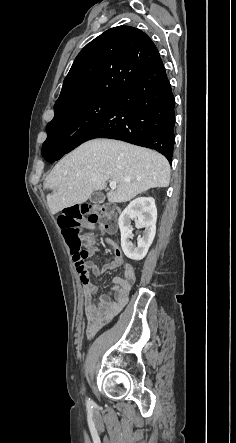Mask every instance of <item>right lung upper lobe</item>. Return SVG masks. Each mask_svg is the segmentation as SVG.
<instances>
[{"mask_svg": "<svg viewBox=\"0 0 236 443\" xmlns=\"http://www.w3.org/2000/svg\"><path fill=\"white\" fill-rule=\"evenodd\" d=\"M160 54L141 30L111 28L87 44L66 76L55 114L99 94L119 95L145 74Z\"/></svg>", "mask_w": 236, "mask_h": 443, "instance_id": "1", "label": "right lung upper lobe"}]
</instances>
